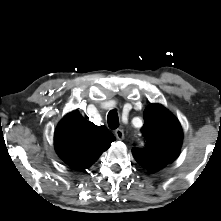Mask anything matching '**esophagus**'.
<instances>
[{
	"label": "esophagus",
	"mask_w": 221,
	"mask_h": 221,
	"mask_svg": "<svg viewBox=\"0 0 221 221\" xmlns=\"http://www.w3.org/2000/svg\"><path fill=\"white\" fill-rule=\"evenodd\" d=\"M115 135H116L117 139H119V140L124 139V131L122 129H116Z\"/></svg>",
	"instance_id": "obj_1"
}]
</instances>
